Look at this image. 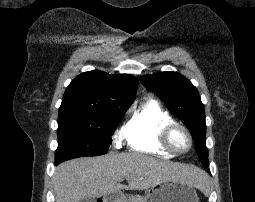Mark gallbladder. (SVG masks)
<instances>
[{
    "label": "gallbladder",
    "mask_w": 255,
    "mask_h": 202,
    "mask_svg": "<svg viewBox=\"0 0 255 202\" xmlns=\"http://www.w3.org/2000/svg\"><path fill=\"white\" fill-rule=\"evenodd\" d=\"M79 202H94V198H92V197H84Z\"/></svg>",
    "instance_id": "bac80fb5"
}]
</instances>
